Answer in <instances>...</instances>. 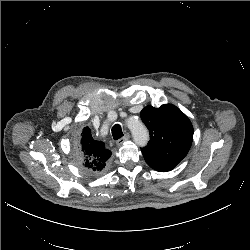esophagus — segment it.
Returning <instances> with one entry per match:
<instances>
[{
    "mask_svg": "<svg viewBox=\"0 0 250 250\" xmlns=\"http://www.w3.org/2000/svg\"><path fill=\"white\" fill-rule=\"evenodd\" d=\"M130 138V135L126 133L121 139L117 141V145L120 146L122 145L125 141H128Z\"/></svg>",
    "mask_w": 250,
    "mask_h": 250,
    "instance_id": "esophagus-1",
    "label": "esophagus"
}]
</instances>
